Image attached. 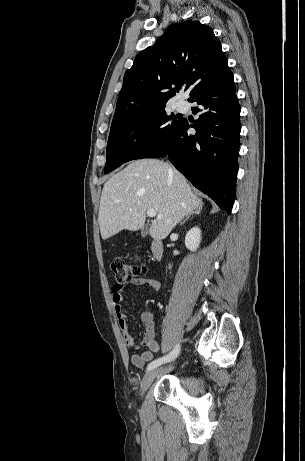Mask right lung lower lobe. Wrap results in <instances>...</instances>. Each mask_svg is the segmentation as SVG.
Listing matches in <instances>:
<instances>
[{"mask_svg": "<svg viewBox=\"0 0 305 461\" xmlns=\"http://www.w3.org/2000/svg\"><path fill=\"white\" fill-rule=\"evenodd\" d=\"M233 74L196 94L190 102L199 118L191 125L186 119L168 140L144 158L168 156L174 166L199 190L230 214L235 200L238 171L240 107ZM196 134L192 135L189 128Z\"/></svg>", "mask_w": 305, "mask_h": 461, "instance_id": "right-lung-lower-lobe-1", "label": "right lung lower lobe"}]
</instances>
